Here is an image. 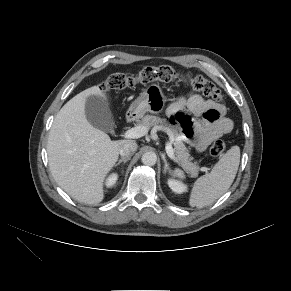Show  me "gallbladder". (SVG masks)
Masks as SVG:
<instances>
[{"instance_id": "bac80fb5", "label": "gallbladder", "mask_w": 291, "mask_h": 291, "mask_svg": "<svg viewBox=\"0 0 291 291\" xmlns=\"http://www.w3.org/2000/svg\"><path fill=\"white\" fill-rule=\"evenodd\" d=\"M85 115L94 127L113 133L114 122L105 100L99 96L91 95L86 98Z\"/></svg>"}]
</instances>
